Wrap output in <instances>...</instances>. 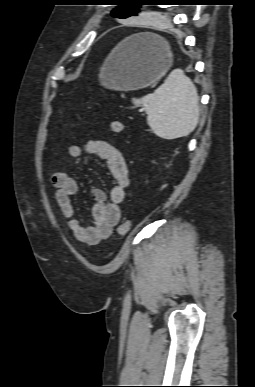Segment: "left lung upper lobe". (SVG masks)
I'll use <instances>...</instances> for the list:
<instances>
[{"label":"left lung upper lobe","mask_w":255,"mask_h":387,"mask_svg":"<svg viewBox=\"0 0 255 387\" xmlns=\"http://www.w3.org/2000/svg\"><path fill=\"white\" fill-rule=\"evenodd\" d=\"M123 2L121 5L112 10L111 14L116 18H127L130 16H136L139 11L140 5L137 4L138 0H119Z\"/></svg>","instance_id":"5c2ea615"}]
</instances>
